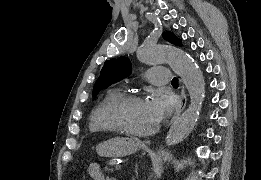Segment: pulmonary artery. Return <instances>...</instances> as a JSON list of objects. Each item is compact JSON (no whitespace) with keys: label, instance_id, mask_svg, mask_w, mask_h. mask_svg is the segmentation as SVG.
Segmentation results:
<instances>
[{"label":"pulmonary artery","instance_id":"1","mask_svg":"<svg viewBox=\"0 0 261 180\" xmlns=\"http://www.w3.org/2000/svg\"><path fill=\"white\" fill-rule=\"evenodd\" d=\"M170 71V67H157L156 69H148L147 76L154 83H170V78H163L170 77Z\"/></svg>","mask_w":261,"mask_h":180}]
</instances>
